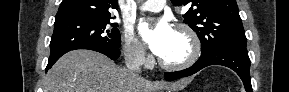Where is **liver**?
Listing matches in <instances>:
<instances>
[{
  "label": "liver",
  "mask_w": 289,
  "mask_h": 92,
  "mask_svg": "<svg viewBox=\"0 0 289 92\" xmlns=\"http://www.w3.org/2000/svg\"><path fill=\"white\" fill-rule=\"evenodd\" d=\"M185 80L167 84L151 82L118 67L105 55L78 49L64 54L44 78V92H156L174 91Z\"/></svg>",
  "instance_id": "6515ba94"
}]
</instances>
